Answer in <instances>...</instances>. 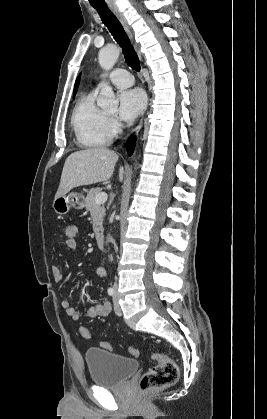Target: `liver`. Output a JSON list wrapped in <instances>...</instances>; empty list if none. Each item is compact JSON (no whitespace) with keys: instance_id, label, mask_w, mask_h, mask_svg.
Here are the masks:
<instances>
[{"instance_id":"obj_1","label":"liver","mask_w":267,"mask_h":419,"mask_svg":"<svg viewBox=\"0 0 267 419\" xmlns=\"http://www.w3.org/2000/svg\"><path fill=\"white\" fill-rule=\"evenodd\" d=\"M118 155L105 147H94L70 154L64 164L60 184L55 197L68 193L79 186L109 180L114 172ZM124 169H119L123 180Z\"/></svg>"}]
</instances>
